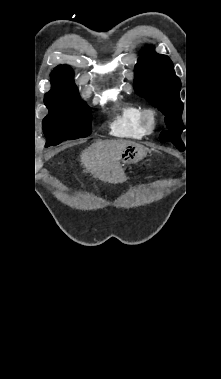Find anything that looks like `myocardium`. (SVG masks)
Returning <instances> with one entry per match:
<instances>
[{
    "label": "myocardium",
    "instance_id": "1",
    "mask_svg": "<svg viewBox=\"0 0 221 379\" xmlns=\"http://www.w3.org/2000/svg\"><path fill=\"white\" fill-rule=\"evenodd\" d=\"M142 125L147 133H151L157 126V115L153 110H145L142 115Z\"/></svg>",
    "mask_w": 221,
    "mask_h": 379
}]
</instances>
